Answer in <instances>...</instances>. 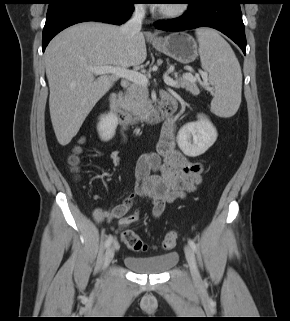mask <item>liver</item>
<instances>
[{
  "mask_svg": "<svg viewBox=\"0 0 290 321\" xmlns=\"http://www.w3.org/2000/svg\"><path fill=\"white\" fill-rule=\"evenodd\" d=\"M146 57L143 33L128 37L121 27L106 23H78L51 40L45 51V68L50 117L60 145L71 142L95 104L117 80L107 74L96 79L89 68L127 69L141 65Z\"/></svg>",
  "mask_w": 290,
  "mask_h": 321,
  "instance_id": "liver-1",
  "label": "liver"
}]
</instances>
